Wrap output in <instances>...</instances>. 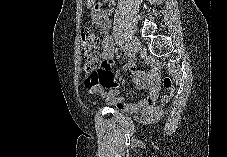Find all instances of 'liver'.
Masks as SVG:
<instances>
[{"label":"liver","instance_id":"6515ba94","mask_svg":"<svg viewBox=\"0 0 227 157\" xmlns=\"http://www.w3.org/2000/svg\"><path fill=\"white\" fill-rule=\"evenodd\" d=\"M94 1L93 0H88V5H90L91 3H93Z\"/></svg>","mask_w":227,"mask_h":157}]
</instances>
